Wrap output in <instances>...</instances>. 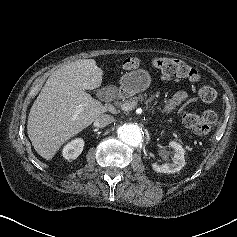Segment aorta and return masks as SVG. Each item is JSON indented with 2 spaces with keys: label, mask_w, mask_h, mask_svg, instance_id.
<instances>
[{
  "label": "aorta",
  "mask_w": 237,
  "mask_h": 237,
  "mask_svg": "<svg viewBox=\"0 0 237 237\" xmlns=\"http://www.w3.org/2000/svg\"><path fill=\"white\" fill-rule=\"evenodd\" d=\"M117 135L126 144L136 147L142 141V129L136 124H123L118 126Z\"/></svg>",
  "instance_id": "obj_1"
}]
</instances>
